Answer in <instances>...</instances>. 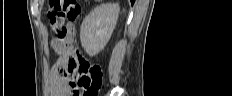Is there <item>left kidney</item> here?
<instances>
[{
    "label": "left kidney",
    "mask_w": 232,
    "mask_h": 96,
    "mask_svg": "<svg viewBox=\"0 0 232 96\" xmlns=\"http://www.w3.org/2000/svg\"><path fill=\"white\" fill-rule=\"evenodd\" d=\"M119 5L107 3L97 6L82 22L80 39L89 56L98 54L108 43L116 26Z\"/></svg>",
    "instance_id": "left-kidney-1"
}]
</instances>
